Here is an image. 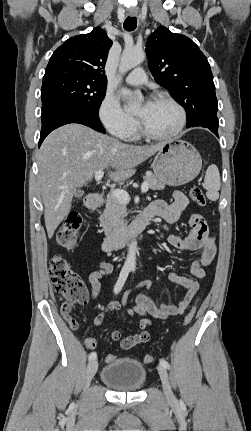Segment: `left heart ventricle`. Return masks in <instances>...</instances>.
Masks as SVG:
<instances>
[{"instance_id": "left-heart-ventricle-1", "label": "left heart ventricle", "mask_w": 251, "mask_h": 431, "mask_svg": "<svg viewBox=\"0 0 251 431\" xmlns=\"http://www.w3.org/2000/svg\"><path fill=\"white\" fill-rule=\"evenodd\" d=\"M135 114L149 131L156 134L171 132L179 120L177 109L165 101L141 104L136 109Z\"/></svg>"}]
</instances>
